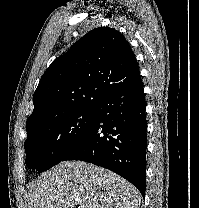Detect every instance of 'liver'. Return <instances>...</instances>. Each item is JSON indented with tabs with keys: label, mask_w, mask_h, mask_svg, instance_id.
Wrapping results in <instances>:
<instances>
[{
	"label": "liver",
	"mask_w": 199,
	"mask_h": 208,
	"mask_svg": "<svg viewBox=\"0 0 199 208\" xmlns=\"http://www.w3.org/2000/svg\"><path fill=\"white\" fill-rule=\"evenodd\" d=\"M28 208H138L139 191L119 175L84 161H65L32 183Z\"/></svg>",
	"instance_id": "1"
}]
</instances>
